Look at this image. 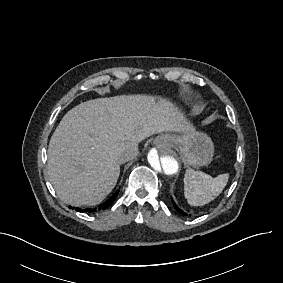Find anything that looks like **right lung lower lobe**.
<instances>
[{
	"label": "right lung lower lobe",
	"mask_w": 283,
	"mask_h": 283,
	"mask_svg": "<svg viewBox=\"0 0 283 283\" xmlns=\"http://www.w3.org/2000/svg\"><path fill=\"white\" fill-rule=\"evenodd\" d=\"M118 192H115L114 195L108 199L106 202H104L103 204L99 205L97 208H93V209H87V210H82L80 208H76L77 211L82 212V211H87V212H95L97 210H104L106 209L109 205L112 204V202L116 199Z\"/></svg>",
	"instance_id": "obj_1"
}]
</instances>
